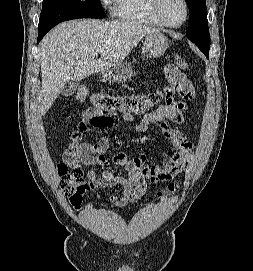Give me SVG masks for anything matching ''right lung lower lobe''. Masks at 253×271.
Returning a JSON list of instances; mask_svg holds the SVG:
<instances>
[{
	"label": "right lung lower lobe",
	"instance_id": "1",
	"mask_svg": "<svg viewBox=\"0 0 253 271\" xmlns=\"http://www.w3.org/2000/svg\"><path fill=\"white\" fill-rule=\"evenodd\" d=\"M47 32H38V42L44 37Z\"/></svg>",
	"mask_w": 253,
	"mask_h": 271
}]
</instances>
